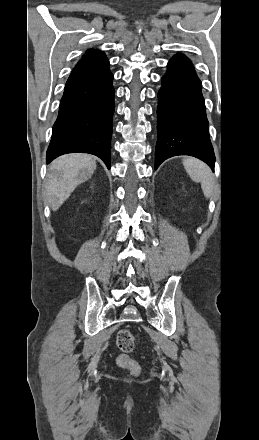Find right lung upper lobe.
Listing matches in <instances>:
<instances>
[{
    "mask_svg": "<svg viewBox=\"0 0 259 440\" xmlns=\"http://www.w3.org/2000/svg\"><path fill=\"white\" fill-rule=\"evenodd\" d=\"M104 54L102 51L99 50H89L87 51V53L82 57V59L84 58H88V57H93V56H97V55H101Z\"/></svg>",
    "mask_w": 259,
    "mask_h": 440,
    "instance_id": "1",
    "label": "right lung upper lobe"
}]
</instances>
